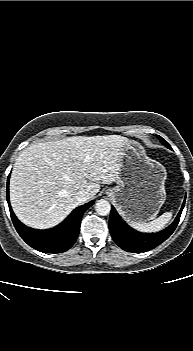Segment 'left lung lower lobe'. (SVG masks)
Listing matches in <instances>:
<instances>
[{
  "label": "left lung lower lobe",
  "instance_id": "1",
  "mask_svg": "<svg viewBox=\"0 0 193 351\" xmlns=\"http://www.w3.org/2000/svg\"><path fill=\"white\" fill-rule=\"evenodd\" d=\"M184 205L185 200L177 217L169 227L152 234L140 233L129 227L112 206L109 219L111 236L115 243L127 252L149 251L164 242L173 233L179 222Z\"/></svg>",
  "mask_w": 193,
  "mask_h": 351
}]
</instances>
